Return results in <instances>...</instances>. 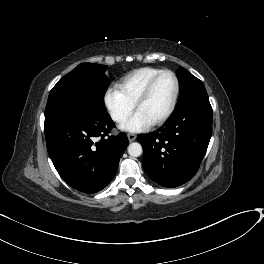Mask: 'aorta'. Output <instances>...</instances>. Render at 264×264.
Here are the masks:
<instances>
[{"mask_svg":"<svg viewBox=\"0 0 264 264\" xmlns=\"http://www.w3.org/2000/svg\"><path fill=\"white\" fill-rule=\"evenodd\" d=\"M128 154L132 157H139L142 154V146L137 142L131 143L128 146Z\"/></svg>","mask_w":264,"mask_h":264,"instance_id":"obj_1","label":"aorta"}]
</instances>
